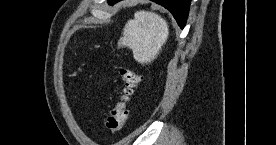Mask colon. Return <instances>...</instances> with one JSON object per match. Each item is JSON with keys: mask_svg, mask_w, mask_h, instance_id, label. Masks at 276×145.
<instances>
[{"mask_svg": "<svg viewBox=\"0 0 276 145\" xmlns=\"http://www.w3.org/2000/svg\"><path fill=\"white\" fill-rule=\"evenodd\" d=\"M122 90L117 102L107 116L105 127L112 134L119 132L128 118V102L140 81V75L129 68L120 69Z\"/></svg>", "mask_w": 276, "mask_h": 145, "instance_id": "obj_1", "label": "colon"}]
</instances>
